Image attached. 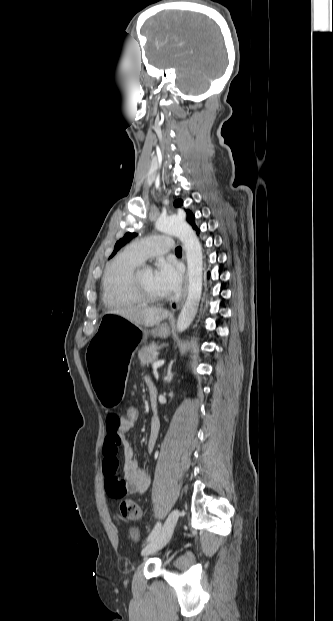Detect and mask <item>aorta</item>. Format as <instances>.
I'll list each match as a JSON object with an SVG mask.
<instances>
[{
    "mask_svg": "<svg viewBox=\"0 0 333 621\" xmlns=\"http://www.w3.org/2000/svg\"><path fill=\"white\" fill-rule=\"evenodd\" d=\"M156 229L178 237L186 252L189 287L188 295L177 320L178 332L185 331L198 311L203 281V254L201 244L192 227L176 217L159 218Z\"/></svg>",
    "mask_w": 333,
    "mask_h": 621,
    "instance_id": "obj_1",
    "label": "aorta"
}]
</instances>
